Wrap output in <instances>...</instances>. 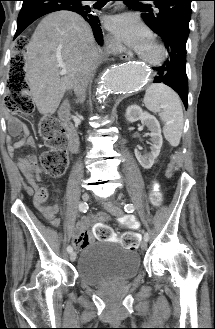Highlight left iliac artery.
<instances>
[{
    "instance_id": "obj_1",
    "label": "left iliac artery",
    "mask_w": 215,
    "mask_h": 329,
    "mask_svg": "<svg viewBox=\"0 0 215 329\" xmlns=\"http://www.w3.org/2000/svg\"><path fill=\"white\" fill-rule=\"evenodd\" d=\"M124 210L125 212L127 213H132L134 210H135V207L133 204H126L124 206ZM144 240L148 241L149 240V234L148 233H145L144 234Z\"/></svg>"
}]
</instances>
